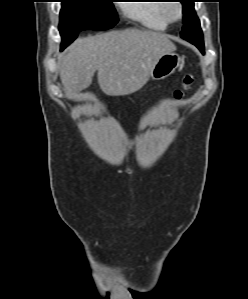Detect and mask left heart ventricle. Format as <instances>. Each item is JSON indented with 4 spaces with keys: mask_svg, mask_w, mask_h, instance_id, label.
Instances as JSON below:
<instances>
[{
    "mask_svg": "<svg viewBox=\"0 0 248 299\" xmlns=\"http://www.w3.org/2000/svg\"><path fill=\"white\" fill-rule=\"evenodd\" d=\"M178 14H179V12H178V9L176 7L173 6V7L170 8V15L171 16L177 17Z\"/></svg>",
    "mask_w": 248,
    "mask_h": 299,
    "instance_id": "b2bd125f",
    "label": "left heart ventricle"
}]
</instances>
